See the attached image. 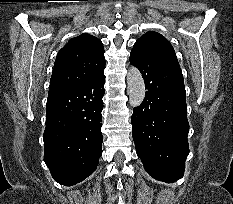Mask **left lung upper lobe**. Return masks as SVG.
<instances>
[{
  "label": "left lung upper lobe",
  "instance_id": "left-lung-upper-lobe-1",
  "mask_svg": "<svg viewBox=\"0 0 233 204\" xmlns=\"http://www.w3.org/2000/svg\"><path fill=\"white\" fill-rule=\"evenodd\" d=\"M132 50L162 63L180 67L172 45L159 33H145L136 41Z\"/></svg>",
  "mask_w": 233,
  "mask_h": 204
}]
</instances>
